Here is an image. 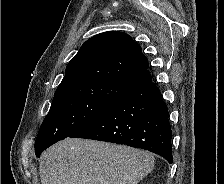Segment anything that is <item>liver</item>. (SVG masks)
<instances>
[{"mask_svg": "<svg viewBox=\"0 0 224 184\" xmlns=\"http://www.w3.org/2000/svg\"><path fill=\"white\" fill-rule=\"evenodd\" d=\"M153 168L148 151L66 138L42 153L39 173L42 184H138Z\"/></svg>", "mask_w": 224, "mask_h": 184, "instance_id": "obj_1", "label": "liver"}]
</instances>
